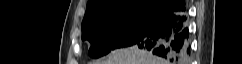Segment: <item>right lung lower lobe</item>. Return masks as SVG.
Returning <instances> with one entry per match:
<instances>
[{"label":"right lung lower lobe","mask_w":242,"mask_h":64,"mask_svg":"<svg viewBox=\"0 0 242 64\" xmlns=\"http://www.w3.org/2000/svg\"><path fill=\"white\" fill-rule=\"evenodd\" d=\"M184 0H174L161 18L134 45L166 59L172 64H186L190 55L189 28Z\"/></svg>","instance_id":"1"}]
</instances>
